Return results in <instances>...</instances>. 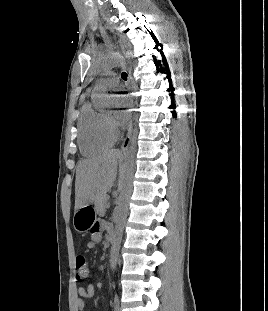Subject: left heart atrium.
<instances>
[{
  "label": "left heart atrium",
  "instance_id": "1",
  "mask_svg": "<svg viewBox=\"0 0 268 311\" xmlns=\"http://www.w3.org/2000/svg\"><path fill=\"white\" fill-rule=\"evenodd\" d=\"M115 97L117 98H120V97H126V95H123V94H117L115 95ZM125 104H128V102H119L118 105H125ZM117 117L121 120H124L127 118V115L124 113V110H120L118 111L117 113Z\"/></svg>",
  "mask_w": 268,
  "mask_h": 311
}]
</instances>
